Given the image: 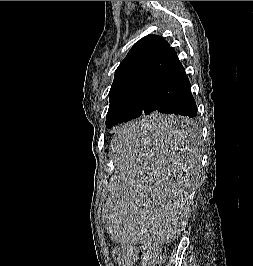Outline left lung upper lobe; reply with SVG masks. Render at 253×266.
Returning <instances> with one entry per match:
<instances>
[{
  "mask_svg": "<svg viewBox=\"0 0 253 266\" xmlns=\"http://www.w3.org/2000/svg\"><path fill=\"white\" fill-rule=\"evenodd\" d=\"M170 45L161 36L147 35L137 41L115 71L106 127L140 117L150 82Z\"/></svg>",
  "mask_w": 253,
  "mask_h": 266,
  "instance_id": "left-lung-upper-lobe-1",
  "label": "left lung upper lobe"
}]
</instances>
